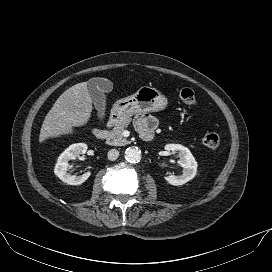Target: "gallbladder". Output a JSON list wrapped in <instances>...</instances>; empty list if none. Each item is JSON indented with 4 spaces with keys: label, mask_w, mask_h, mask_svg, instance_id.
Wrapping results in <instances>:
<instances>
[{
    "label": "gallbladder",
    "mask_w": 272,
    "mask_h": 272,
    "mask_svg": "<svg viewBox=\"0 0 272 272\" xmlns=\"http://www.w3.org/2000/svg\"><path fill=\"white\" fill-rule=\"evenodd\" d=\"M90 98L97 111V117L103 120L106 115V96L104 90L111 89V83L103 78H92L87 82Z\"/></svg>",
    "instance_id": "obj_1"
}]
</instances>
